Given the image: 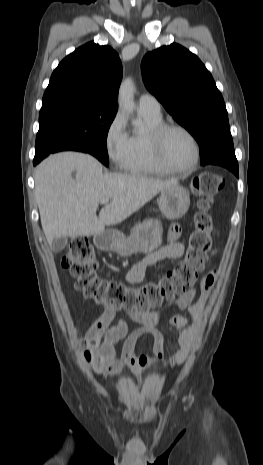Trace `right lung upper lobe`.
<instances>
[{
	"mask_svg": "<svg viewBox=\"0 0 263 465\" xmlns=\"http://www.w3.org/2000/svg\"><path fill=\"white\" fill-rule=\"evenodd\" d=\"M122 64L109 46L89 42L64 58L54 70L42 104L77 101L118 108Z\"/></svg>",
	"mask_w": 263,
	"mask_h": 465,
	"instance_id": "1",
	"label": "right lung upper lobe"
}]
</instances>
